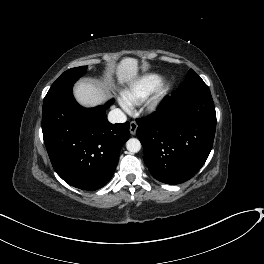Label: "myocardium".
<instances>
[{"label": "myocardium", "instance_id": "1", "mask_svg": "<svg viewBox=\"0 0 264 264\" xmlns=\"http://www.w3.org/2000/svg\"><path fill=\"white\" fill-rule=\"evenodd\" d=\"M170 83L160 80L154 90L141 102L144 111L148 114H155L161 108L169 90Z\"/></svg>", "mask_w": 264, "mask_h": 264}]
</instances>
